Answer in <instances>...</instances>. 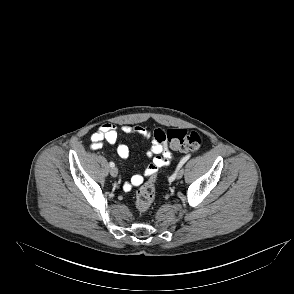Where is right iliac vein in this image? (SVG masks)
Wrapping results in <instances>:
<instances>
[{
    "instance_id": "obj_1",
    "label": "right iliac vein",
    "mask_w": 294,
    "mask_h": 294,
    "mask_svg": "<svg viewBox=\"0 0 294 294\" xmlns=\"http://www.w3.org/2000/svg\"><path fill=\"white\" fill-rule=\"evenodd\" d=\"M110 175H111L112 177H116V176L118 175V169L115 168V167L111 168V169H110Z\"/></svg>"
}]
</instances>
